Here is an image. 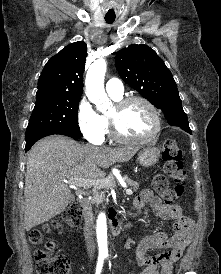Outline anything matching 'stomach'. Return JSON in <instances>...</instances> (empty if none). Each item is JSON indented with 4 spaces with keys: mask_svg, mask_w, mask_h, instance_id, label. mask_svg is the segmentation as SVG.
I'll use <instances>...</instances> for the list:
<instances>
[{
    "mask_svg": "<svg viewBox=\"0 0 221 274\" xmlns=\"http://www.w3.org/2000/svg\"><path fill=\"white\" fill-rule=\"evenodd\" d=\"M160 150L155 146L144 147L138 154V161L143 167H149L158 162Z\"/></svg>",
    "mask_w": 221,
    "mask_h": 274,
    "instance_id": "stomach-1",
    "label": "stomach"
}]
</instances>
